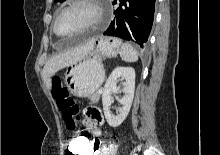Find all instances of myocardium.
<instances>
[{"label":"myocardium","mask_w":220,"mask_h":155,"mask_svg":"<svg viewBox=\"0 0 220 155\" xmlns=\"http://www.w3.org/2000/svg\"><path fill=\"white\" fill-rule=\"evenodd\" d=\"M79 5H88L90 6L93 11H94V16L91 19L90 22H88L83 28L78 30L77 32L69 35V36H74V35H79L83 34L96 26H98L104 19L105 17V8L102 0H69L67 4L62 6L55 14L53 22H52V31L55 35L61 36L57 31H56V22L58 17L65 11H68L76 6Z\"/></svg>","instance_id":"1"}]
</instances>
